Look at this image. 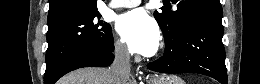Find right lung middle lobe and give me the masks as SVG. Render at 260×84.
<instances>
[{
  "label": "right lung middle lobe",
  "mask_w": 260,
  "mask_h": 84,
  "mask_svg": "<svg viewBox=\"0 0 260 84\" xmlns=\"http://www.w3.org/2000/svg\"><path fill=\"white\" fill-rule=\"evenodd\" d=\"M98 11L48 28L46 70L65 56L83 49L110 51L114 41L110 24L100 20Z\"/></svg>",
  "instance_id": "obj_1"
}]
</instances>
